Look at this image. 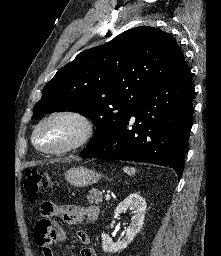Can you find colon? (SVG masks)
I'll return each instance as SVG.
<instances>
[{
  "label": "colon",
  "mask_w": 221,
  "mask_h": 256,
  "mask_svg": "<svg viewBox=\"0 0 221 256\" xmlns=\"http://www.w3.org/2000/svg\"><path fill=\"white\" fill-rule=\"evenodd\" d=\"M51 178L43 171L38 169H28L26 171V178L24 182L25 191L31 201L35 200L38 194L50 187Z\"/></svg>",
  "instance_id": "1"
}]
</instances>
